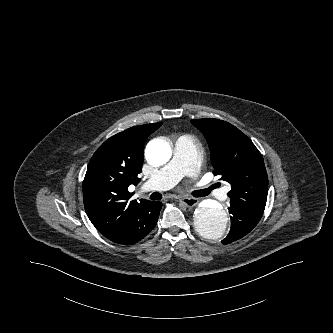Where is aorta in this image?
Instances as JSON below:
<instances>
[{
	"label": "aorta",
	"instance_id": "aorta-1",
	"mask_svg": "<svg viewBox=\"0 0 333 333\" xmlns=\"http://www.w3.org/2000/svg\"><path fill=\"white\" fill-rule=\"evenodd\" d=\"M146 159L153 166L166 164L172 155L171 146L163 140H152L146 147ZM196 230L208 239L226 236L230 228L228 214L220 204L201 203L194 215Z\"/></svg>",
	"mask_w": 333,
	"mask_h": 333
}]
</instances>
